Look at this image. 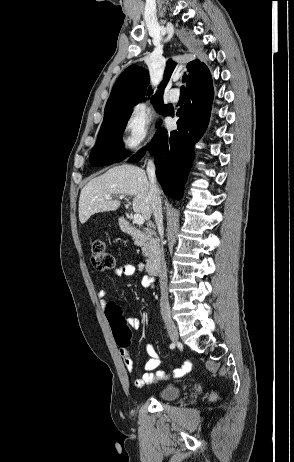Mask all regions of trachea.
Masks as SVG:
<instances>
[{
  "label": "trachea",
  "mask_w": 294,
  "mask_h": 462,
  "mask_svg": "<svg viewBox=\"0 0 294 462\" xmlns=\"http://www.w3.org/2000/svg\"><path fill=\"white\" fill-rule=\"evenodd\" d=\"M186 81H187V75H184V76L182 77V82L184 83V82H186ZM181 91H182V92L185 91L184 86L181 87Z\"/></svg>",
  "instance_id": "3493384b"
}]
</instances>
